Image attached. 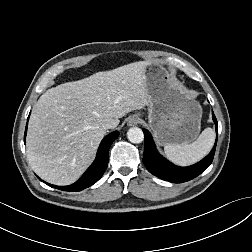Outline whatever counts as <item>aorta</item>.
Here are the masks:
<instances>
[{
	"instance_id": "obj_1",
	"label": "aorta",
	"mask_w": 252,
	"mask_h": 252,
	"mask_svg": "<svg viewBox=\"0 0 252 252\" xmlns=\"http://www.w3.org/2000/svg\"><path fill=\"white\" fill-rule=\"evenodd\" d=\"M127 138L132 143H141L144 140V134L140 128L132 127L127 132Z\"/></svg>"
}]
</instances>
